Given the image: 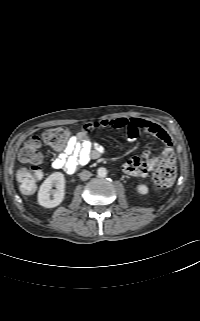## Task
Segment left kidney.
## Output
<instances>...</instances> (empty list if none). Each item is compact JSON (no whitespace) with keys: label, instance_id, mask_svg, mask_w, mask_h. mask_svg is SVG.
<instances>
[{"label":"left kidney","instance_id":"left-kidney-1","mask_svg":"<svg viewBox=\"0 0 200 321\" xmlns=\"http://www.w3.org/2000/svg\"><path fill=\"white\" fill-rule=\"evenodd\" d=\"M137 191L138 193L142 194V195H146L148 193V187L146 185H138L137 186Z\"/></svg>","mask_w":200,"mask_h":321}]
</instances>
